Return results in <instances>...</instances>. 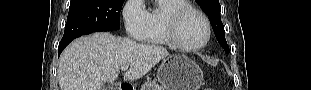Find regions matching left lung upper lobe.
<instances>
[{
	"label": "left lung upper lobe",
	"mask_w": 311,
	"mask_h": 90,
	"mask_svg": "<svg viewBox=\"0 0 311 90\" xmlns=\"http://www.w3.org/2000/svg\"><path fill=\"white\" fill-rule=\"evenodd\" d=\"M196 1L201 6L203 11L207 14L219 44L224 48L226 52L229 53L230 50L225 39L224 26L220 18L221 7L219 1L218 0H196Z\"/></svg>",
	"instance_id": "5c2ea615"
}]
</instances>
